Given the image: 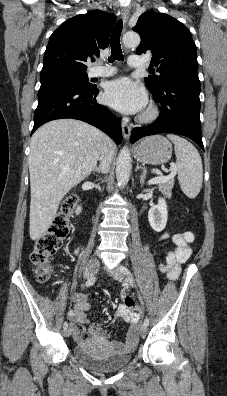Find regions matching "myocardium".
<instances>
[{"mask_svg":"<svg viewBox=\"0 0 227 396\" xmlns=\"http://www.w3.org/2000/svg\"><path fill=\"white\" fill-rule=\"evenodd\" d=\"M158 110L154 106H149L139 117V120L143 123H149L154 121L158 117Z\"/></svg>","mask_w":227,"mask_h":396,"instance_id":"myocardium-1","label":"myocardium"}]
</instances>
